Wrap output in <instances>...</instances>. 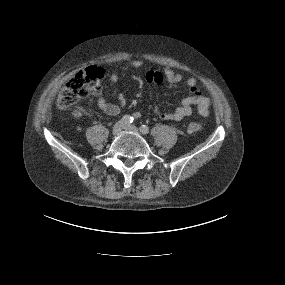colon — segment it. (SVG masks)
<instances>
[{"label": "colon", "mask_w": 285, "mask_h": 285, "mask_svg": "<svg viewBox=\"0 0 285 285\" xmlns=\"http://www.w3.org/2000/svg\"><path fill=\"white\" fill-rule=\"evenodd\" d=\"M103 78V71L98 66H88L79 71L62 88L56 99L57 108L64 110L77 105L81 100L90 96L97 95L100 90V82ZM72 116L79 118L81 111L72 110ZM189 133H196L201 130L199 122H191L187 126Z\"/></svg>", "instance_id": "5ec220e1"}]
</instances>
